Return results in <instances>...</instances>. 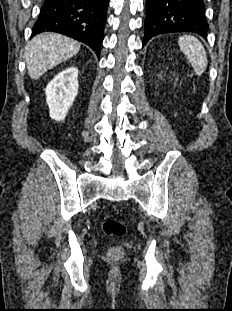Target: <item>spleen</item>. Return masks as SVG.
Returning <instances> with one entry per match:
<instances>
[{"instance_id": "spleen-1", "label": "spleen", "mask_w": 232, "mask_h": 311, "mask_svg": "<svg viewBox=\"0 0 232 311\" xmlns=\"http://www.w3.org/2000/svg\"><path fill=\"white\" fill-rule=\"evenodd\" d=\"M178 44L190 61L195 73L201 75L207 66V55L204 46L197 38L189 35L180 37Z\"/></svg>"}]
</instances>
